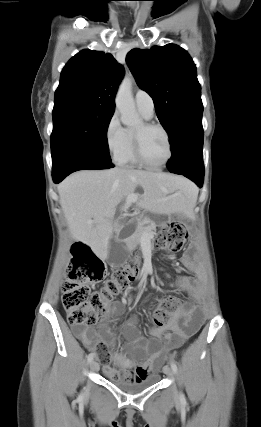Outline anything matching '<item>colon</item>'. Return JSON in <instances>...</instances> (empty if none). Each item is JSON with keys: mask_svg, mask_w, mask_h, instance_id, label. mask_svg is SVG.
I'll return each mask as SVG.
<instances>
[{"mask_svg": "<svg viewBox=\"0 0 261 427\" xmlns=\"http://www.w3.org/2000/svg\"><path fill=\"white\" fill-rule=\"evenodd\" d=\"M187 238L188 233L182 225L171 223L158 231L156 243L162 249L178 252L183 249ZM137 276L136 259L109 272L105 263L88 245L75 243L71 250L68 274L62 285V303L68 323L72 326L97 324L105 317L110 301L127 290ZM102 280L103 287L94 290L91 285ZM180 305L181 301L175 296L160 298L153 312L156 326H166Z\"/></svg>", "mask_w": 261, "mask_h": 427, "instance_id": "colon-1", "label": "colon"}]
</instances>
